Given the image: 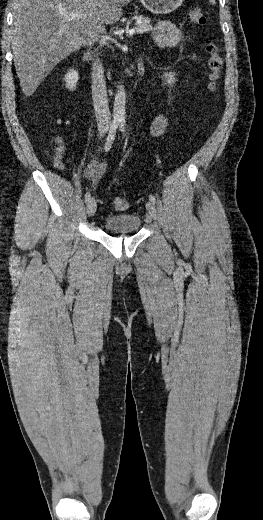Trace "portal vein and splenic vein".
<instances>
[{"label":"portal vein and splenic vein","mask_w":263,"mask_h":520,"mask_svg":"<svg viewBox=\"0 0 263 520\" xmlns=\"http://www.w3.org/2000/svg\"><path fill=\"white\" fill-rule=\"evenodd\" d=\"M63 16L68 20L84 18V14L78 12L64 13ZM126 33L128 36H132L135 33V29H130Z\"/></svg>","instance_id":"18ae733b"}]
</instances>
